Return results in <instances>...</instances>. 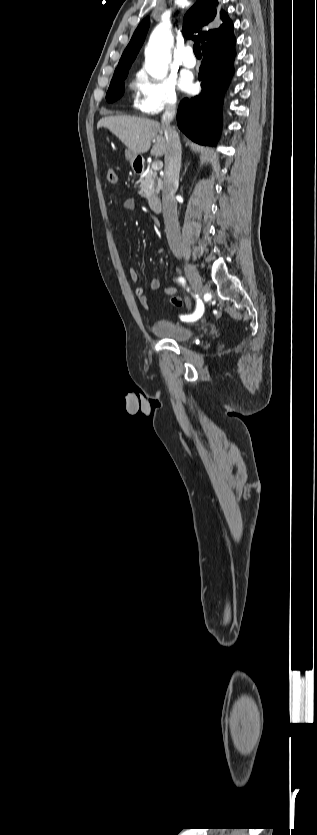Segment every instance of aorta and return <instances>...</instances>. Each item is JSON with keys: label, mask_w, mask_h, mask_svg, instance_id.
Segmentation results:
<instances>
[{"label": "aorta", "mask_w": 317, "mask_h": 835, "mask_svg": "<svg viewBox=\"0 0 317 835\" xmlns=\"http://www.w3.org/2000/svg\"><path fill=\"white\" fill-rule=\"evenodd\" d=\"M173 36L167 23H161L152 32L145 49V69L155 80H162L171 62ZM202 831V829L200 830Z\"/></svg>", "instance_id": "1"}]
</instances>
